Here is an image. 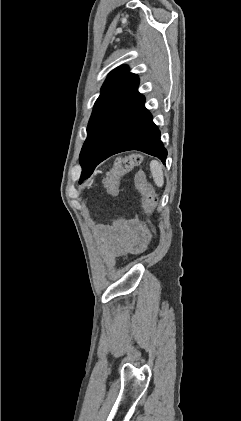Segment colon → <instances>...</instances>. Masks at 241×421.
<instances>
[{"instance_id":"1","label":"colon","mask_w":241,"mask_h":421,"mask_svg":"<svg viewBox=\"0 0 241 421\" xmlns=\"http://www.w3.org/2000/svg\"><path fill=\"white\" fill-rule=\"evenodd\" d=\"M141 161V156L137 154L127 155L117 159L104 180L107 193L111 196L118 195L121 178L140 164ZM135 185L142 196V206L151 217L156 208L157 196L152 186L147 183L144 172L140 171L136 174Z\"/></svg>"}]
</instances>
